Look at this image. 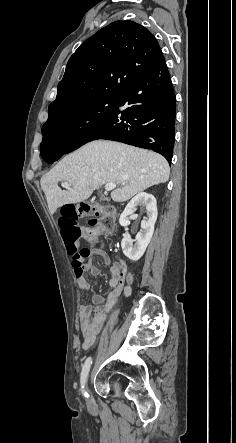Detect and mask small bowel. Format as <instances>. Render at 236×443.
Instances as JSON below:
<instances>
[{"label": "small bowel", "instance_id": "small-bowel-1", "mask_svg": "<svg viewBox=\"0 0 236 443\" xmlns=\"http://www.w3.org/2000/svg\"><path fill=\"white\" fill-rule=\"evenodd\" d=\"M88 243L90 245L89 259L84 262L82 269L73 268L77 279V284L82 292L90 290V283L85 273L92 276H99L100 270L92 262L93 258H101L110 271V279L108 286L113 289L106 297L101 295H93L90 304L80 307V331L82 339V348L88 349L94 345L100 334L106 313L111 310L118 302L121 293H128L127 284L131 280V274L126 263L123 260L111 262L107 253H105L99 245L101 244V232L97 229L87 231Z\"/></svg>", "mask_w": 236, "mask_h": 443}]
</instances>
